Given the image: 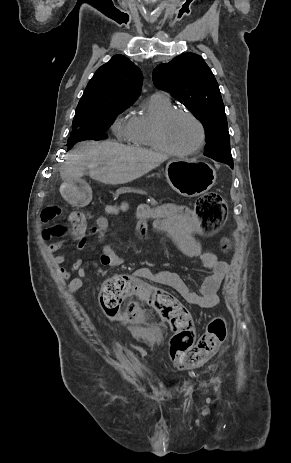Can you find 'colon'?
<instances>
[{"instance_id": "colon-1", "label": "colon", "mask_w": 291, "mask_h": 463, "mask_svg": "<svg viewBox=\"0 0 291 463\" xmlns=\"http://www.w3.org/2000/svg\"><path fill=\"white\" fill-rule=\"evenodd\" d=\"M226 204L217 192H209L198 198L195 207H187L175 202H155L144 204L139 214L144 219L156 217V226H189L194 231L205 234L216 231L226 218ZM118 214L116 209L111 211ZM56 219H60L54 222ZM43 223H52L43 232L48 242L57 237L79 236L86 232L88 215L83 211L64 213L58 205H49L41 213ZM136 298L167 317L174 330L169 355L173 364L180 369H192L201 366L219 348L226 338L227 328L221 318L210 321L204 334L194 342V323L191 314L173 296L165 290L156 288L144 280L127 274L108 278L99 293L104 312L110 317L120 313L122 301ZM129 315L139 320L140 309L131 305Z\"/></svg>"}]
</instances>
